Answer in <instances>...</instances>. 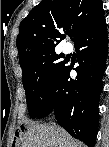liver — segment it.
I'll return each mask as SVG.
<instances>
[{
    "mask_svg": "<svg viewBox=\"0 0 109 147\" xmlns=\"http://www.w3.org/2000/svg\"><path fill=\"white\" fill-rule=\"evenodd\" d=\"M21 147H81V142L58 125L31 124L23 134Z\"/></svg>",
    "mask_w": 109,
    "mask_h": 147,
    "instance_id": "6515ba94",
    "label": "liver"
}]
</instances>
